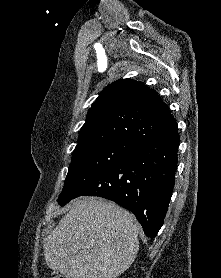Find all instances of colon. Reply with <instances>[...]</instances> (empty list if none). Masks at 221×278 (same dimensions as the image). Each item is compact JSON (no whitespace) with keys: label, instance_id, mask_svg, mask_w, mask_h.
Returning <instances> with one entry per match:
<instances>
[{"label":"colon","instance_id":"1","mask_svg":"<svg viewBox=\"0 0 221 278\" xmlns=\"http://www.w3.org/2000/svg\"><path fill=\"white\" fill-rule=\"evenodd\" d=\"M51 278H66V277L64 275H62L61 273L54 271L51 274Z\"/></svg>","mask_w":221,"mask_h":278}]
</instances>
